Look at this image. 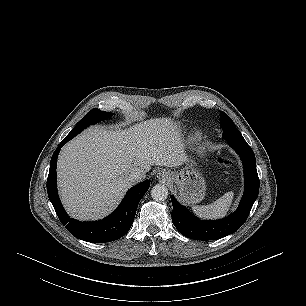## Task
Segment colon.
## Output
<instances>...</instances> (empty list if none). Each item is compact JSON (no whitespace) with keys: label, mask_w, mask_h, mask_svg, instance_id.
Returning <instances> with one entry per match:
<instances>
[{"label":"colon","mask_w":306,"mask_h":306,"mask_svg":"<svg viewBox=\"0 0 306 306\" xmlns=\"http://www.w3.org/2000/svg\"><path fill=\"white\" fill-rule=\"evenodd\" d=\"M218 163L224 166L232 165L233 161L230 157L221 156L218 158Z\"/></svg>","instance_id":"5ec220e1"}]
</instances>
